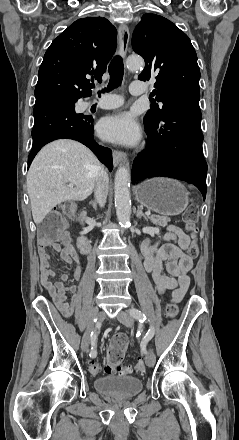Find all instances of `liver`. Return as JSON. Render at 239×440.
<instances>
[{
  "label": "liver",
  "instance_id": "liver-1",
  "mask_svg": "<svg viewBox=\"0 0 239 440\" xmlns=\"http://www.w3.org/2000/svg\"><path fill=\"white\" fill-rule=\"evenodd\" d=\"M101 164L83 144L56 140L44 146L27 174V190L35 224L67 200H86L95 188ZM73 184L75 188H69Z\"/></svg>",
  "mask_w": 239,
  "mask_h": 440
}]
</instances>
